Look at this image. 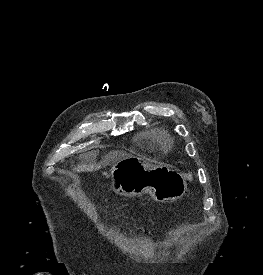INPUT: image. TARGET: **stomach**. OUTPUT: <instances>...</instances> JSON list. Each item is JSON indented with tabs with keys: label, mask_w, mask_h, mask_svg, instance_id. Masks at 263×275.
<instances>
[{
	"label": "stomach",
	"mask_w": 263,
	"mask_h": 275,
	"mask_svg": "<svg viewBox=\"0 0 263 275\" xmlns=\"http://www.w3.org/2000/svg\"><path fill=\"white\" fill-rule=\"evenodd\" d=\"M111 189L120 196L149 194L155 201L173 202L185 194L187 183L183 174L170 167L130 155L113 165Z\"/></svg>",
	"instance_id": "stomach-1"
}]
</instances>
